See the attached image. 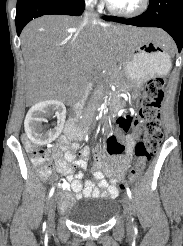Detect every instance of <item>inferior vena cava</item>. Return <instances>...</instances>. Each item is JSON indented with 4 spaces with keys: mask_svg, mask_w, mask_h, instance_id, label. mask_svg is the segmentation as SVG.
Here are the masks:
<instances>
[{
    "mask_svg": "<svg viewBox=\"0 0 183 246\" xmlns=\"http://www.w3.org/2000/svg\"><path fill=\"white\" fill-rule=\"evenodd\" d=\"M92 2L93 0H87L86 2V10L84 14V22L86 24L96 22L98 20V14L94 11Z\"/></svg>",
    "mask_w": 183,
    "mask_h": 246,
    "instance_id": "602c4592",
    "label": "inferior vena cava"
}]
</instances>
